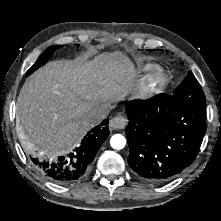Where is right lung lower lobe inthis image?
Listing matches in <instances>:
<instances>
[{
    "instance_id": "98d812e1",
    "label": "right lung lower lobe",
    "mask_w": 221,
    "mask_h": 221,
    "mask_svg": "<svg viewBox=\"0 0 221 221\" xmlns=\"http://www.w3.org/2000/svg\"><path fill=\"white\" fill-rule=\"evenodd\" d=\"M109 120H104L100 125L88 132L81 145L65 156L48 157L30 155V160L36 169L49 180L65 184L83 178L90 170L97 151L109 135Z\"/></svg>"
}]
</instances>
